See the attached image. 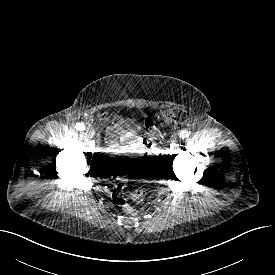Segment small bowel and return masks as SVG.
I'll return each mask as SVG.
<instances>
[{"mask_svg":"<svg viewBox=\"0 0 275 275\" xmlns=\"http://www.w3.org/2000/svg\"><path fill=\"white\" fill-rule=\"evenodd\" d=\"M142 125L134 119L117 117L106 130V141L113 149L118 141L130 147H136L141 142Z\"/></svg>","mask_w":275,"mask_h":275,"instance_id":"1","label":"small bowel"}]
</instances>
